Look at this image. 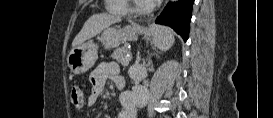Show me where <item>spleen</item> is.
<instances>
[{"mask_svg":"<svg viewBox=\"0 0 273 118\" xmlns=\"http://www.w3.org/2000/svg\"><path fill=\"white\" fill-rule=\"evenodd\" d=\"M154 44L162 51L168 50L174 44L172 31L164 26H153L151 29Z\"/></svg>","mask_w":273,"mask_h":118,"instance_id":"1","label":"spleen"}]
</instances>
